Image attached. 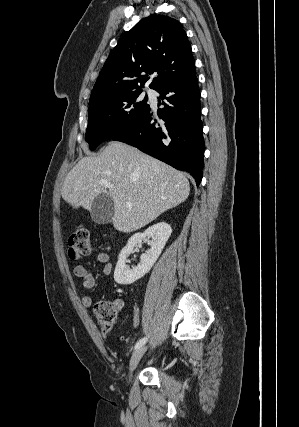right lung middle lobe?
Masks as SVG:
<instances>
[{"label": "right lung middle lobe", "instance_id": "obj_1", "mask_svg": "<svg viewBox=\"0 0 299 427\" xmlns=\"http://www.w3.org/2000/svg\"><path fill=\"white\" fill-rule=\"evenodd\" d=\"M141 92L122 93L89 105L85 139L91 150L127 131L144 116L150 106L147 96L141 99Z\"/></svg>", "mask_w": 299, "mask_h": 427}]
</instances>
